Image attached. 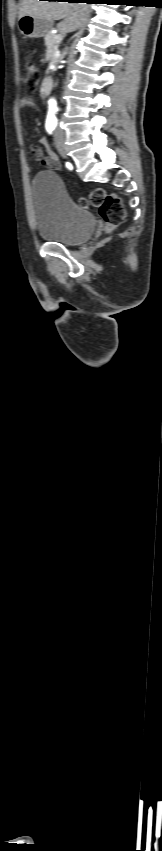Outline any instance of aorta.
<instances>
[{"label": "aorta", "instance_id": "1", "mask_svg": "<svg viewBox=\"0 0 162 851\" xmlns=\"http://www.w3.org/2000/svg\"><path fill=\"white\" fill-rule=\"evenodd\" d=\"M55 112H56V102H55L54 99H51L49 101V112H48L47 120H49V121L54 120L55 119Z\"/></svg>", "mask_w": 162, "mask_h": 851}]
</instances>
